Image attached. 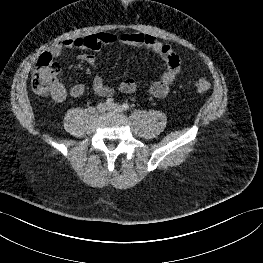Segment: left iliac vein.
<instances>
[{"label": "left iliac vein", "mask_w": 263, "mask_h": 263, "mask_svg": "<svg viewBox=\"0 0 263 263\" xmlns=\"http://www.w3.org/2000/svg\"><path fill=\"white\" fill-rule=\"evenodd\" d=\"M108 109L110 111H114V112H118V113L122 112V110H123L122 107L119 104H116V103H114L111 106H109Z\"/></svg>", "instance_id": "left-iliac-vein-1"}]
</instances>
